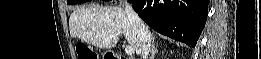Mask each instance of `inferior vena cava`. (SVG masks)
Instances as JSON below:
<instances>
[{"label": "inferior vena cava", "instance_id": "602c4592", "mask_svg": "<svg viewBox=\"0 0 261 59\" xmlns=\"http://www.w3.org/2000/svg\"><path fill=\"white\" fill-rule=\"evenodd\" d=\"M124 4L128 20L137 35L141 51V59H148L151 50L152 35L144 22L136 14L134 9L132 8V5L128 2H125Z\"/></svg>", "mask_w": 261, "mask_h": 59}]
</instances>
